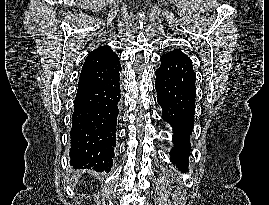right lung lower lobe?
Instances as JSON below:
<instances>
[{
	"label": "right lung lower lobe",
	"instance_id": "98d812e1",
	"mask_svg": "<svg viewBox=\"0 0 269 205\" xmlns=\"http://www.w3.org/2000/svg\"><path fill=\"white\" fill-rule=\"evenodd\" d=\"M119 80L110 85L78 88L70 135V163L74 168L111 170L121 98Z\"/></svg>",
	"mask_w": 269,
	"mask_h": 205
}]
</instances>
